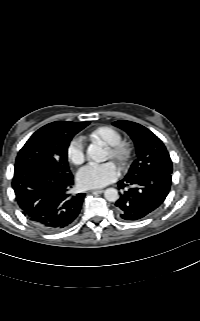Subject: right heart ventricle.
<instances>
[{
  "label": "right heart ventricle",
  "mask_w": 200,
  "mask_h": 321,
  "mask_svg": "<svg viewBox=\"0 0 200 321\" xmlns=\"http://www.w3.org/2000/svg\"><path fill=\"white\" fill-rule=\"evenodd\" d=\"M90 136L93 139H99L103 141L108 146L116 144L122 140L121 133L110 126L98 127L94 131H92Z\"/></svg>",
  "instance_id": "obj_1"
}]
</instances>
